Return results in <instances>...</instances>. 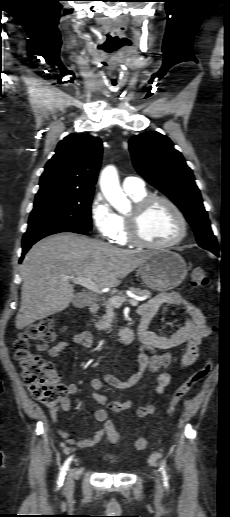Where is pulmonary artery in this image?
I'll list each match as a JSON object with an SVG mask.
<instances>
[{
  "mask_svg": "<svg viewBox=\"0 0 230 517\" xmlns=\"http://www.w3.org/2000/svg\"><path fill=\"white\" fill-rule=\"evenodd\" d=\"M122 187L127 193H140L145 191L144 181L138 177H126L122 182Z\"/></svg>",
  "mask_w": 230,
  "mask_h": 517,
  "instance_id": "e3ab8cb5",
  "label": "pulmonary artery"
}]
</instances>
